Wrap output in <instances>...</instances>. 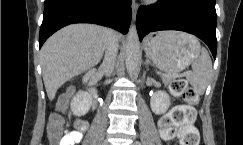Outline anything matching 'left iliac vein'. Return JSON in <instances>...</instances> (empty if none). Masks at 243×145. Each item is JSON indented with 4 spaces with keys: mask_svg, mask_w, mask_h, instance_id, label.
<instances>
[{
    "mask_svg": "<svg viewBox=\"0 0 243 145\" xmlns=\"http://www.w3.org/2000/svg\"><path fill=\"white\" fill-rule=\"evenodd\" d=\"M132 145H138V142L137 141H135Z\"/></svg>",
    "mask_w": 243,
    "mask_h": 145,
    "instance_id": "obj_1",
    "label": "left iliac vein"
}]
</instances>
